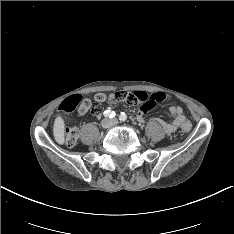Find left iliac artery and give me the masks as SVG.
<instances>
[{
  "label": "left iliac artery",
  "mask_w": 234,
  "mask_h": 234,
  "mask_svg": "<svg viewBox=\"0 0 234 234\" xmlns=\"http://www.w3.org/2000/svg\"><path fill=\"white\" fill-rule=\"evenodd\" d=\"M119 120L124 122L127 120V115L124 112H121L120 116H119Z\"/></svg>",
  "instance_id": "1"
}]
</instances>
